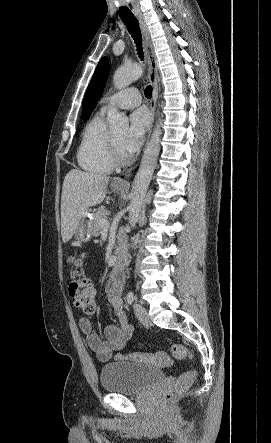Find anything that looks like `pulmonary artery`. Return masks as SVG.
<instances>
[{"instance_id":"e3ab8cb5","label":"pulmonary artery","mask_w":271,"mask_h":443,"mask_svg":"<svg viewBox=\"0 0 271 443\" xmlns=\"http://www.w3.org/2000/svg\"><path fill=\"white\" fill-rule=\"evenodd\" d=\"M141 102L140 92L136 88L130 87L108 96L101 106L100 111L105 112L109 108H134L139 106Z\"/></svg>"}]
</instances>
